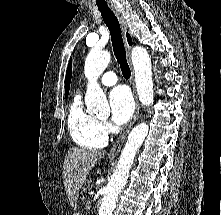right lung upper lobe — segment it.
Masks as SVG:
<instances>
[{"mask_svg":"<svg viewBox=\"0 0 221 215\" xmlns=\"http://www.w3.org/2000/svg\"><path fill=\"white\" fill-rule=\"evenodd\" d=\"M127 40L129 45H132V40L129 34H127ZM72 76V60H70L67 71H66V81H65V96H68L70 81Z\"/></svg>","mask_w":221,"mask_h":215,"instance_id":"cb5924a9","label":"right lung upper lobe"}]
</instances>
